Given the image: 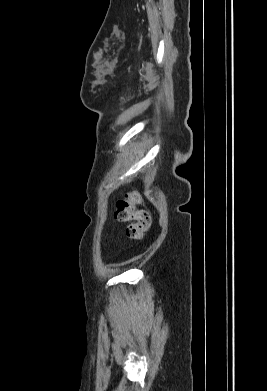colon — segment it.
<instances>
[{"mask_svg": "<svg viewBox=\"0 0 267 391\" xmlns=\"http://www.w3.org/2000/svg\"><path fill=\"white\" fill-rule=\"evenodd\" d=\"M142 198L136 191L125 193L116 202L114 217L119 222H131L126 229L130 239L142 240L151 223L150 214L146 210H139Z\"/></svg>", "mask_w": 267, "mask_h": 391, "instance_id": "1", "label": "colon"}]
</instances>
